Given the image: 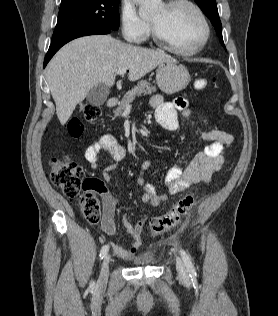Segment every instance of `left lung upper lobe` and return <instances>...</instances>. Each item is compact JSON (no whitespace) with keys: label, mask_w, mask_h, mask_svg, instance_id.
Wrapping results in <instances>:
<instances>
[{"label":"left lung upper lobe","mask_w":278,"mask_h":316,"mask_svg":"<svg viewBox=\"0 0 278 316\" xmlns=\"http://www.w3.org/2000/svg\"><path fill=\"white\" fill-rule=\"evenodd\" d=\"M202 11L207 15L213 24L217 35L220 39V42L224 46L223 38H222V25L218 15V9L216 5V0H195Z\"/></svg>","instance_id":"left-lung-upper-lobe-1"}]
</instances>
